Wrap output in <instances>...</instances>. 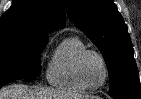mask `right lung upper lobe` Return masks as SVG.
Returning a JSON list of instances; mask_svg holds the SVG:
<instances>
[{
  "instance_id": "1",
  "label": "right lung upper lobe",
  "mask_w": 141,
  "mask_h": 99,
  "mask_svg": "<svg viewBox=\"0 0 141 99\" xmlns=\"http://www.w3.org/2000/svg\"><path fill=\"white\" fill-rule=\"evenodd\" d=\"M66 22L62 0H13L0 19V36L21 35L47 41Z\"/></svg>"
}]
</instances>
